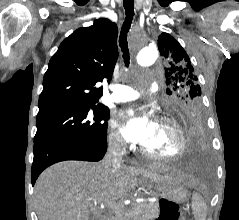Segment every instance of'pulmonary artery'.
Wrapping results in <instances>:
<instances>
[{
	"label": "pulmonary artery",
	"mask_w": 239,
	"mask_h": 220,
	"mask_svg": "<svg viewBox=\"0 0 239 220\" xmlns=\"http://www.w3.org/2000/svg\"><path fill=\"white\" fill-rule=\"evenodd\" d=\"M157 90L156 83L151 84V91L154 92ZM111 95L109 97L112 102H127L139 99L142 97V93L139 92L136 88L123 85V84H114L111 86Z\"/></svg>",
	"instance_id": "e3ab8cb5"
}]
</instances>
